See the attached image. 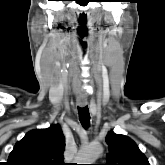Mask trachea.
<instances>
[{
    "label": "trachea",
    "mask_w": 165,
    "mask_h": 165,
    "mask_svg": "<svg viewBox=\"0 0 165 165\" xmlns=\"http://www.w3.org/2000/svg\"><path fill=\"white\" fill-rule=\"evenodd\" d=\"M79 120L84 128H88L90 124V114L87 106L78 108Z\"/></svg>",
    "instance_id": "3493384b"
}]
</instances>
